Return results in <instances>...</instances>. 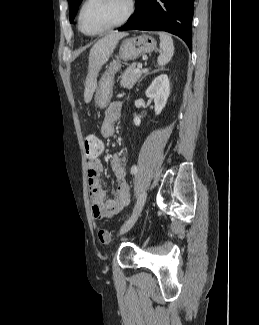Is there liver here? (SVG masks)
<instances>
[{
	"label": "liver",
	"mask_w": 259,
	"mask_h": 325,
	"mask_svg": "<svg viewBox=\"0 0 259 325\" xmlns=\"http://www.w3.org/2000/svg\"><path fill=\"white\" fill-rule=\"evenodd\" d=\"M127 35L128 34L125 32H111L97 41L91 48L89 54V69L91 80H88L84 92L86 103H89L91 101L94 90L96 88V82L94 80L95 75L100 70L101 66L108 61L118 41Z\"/></svg>",
	"instance_id": "obj_1"
}]
</instances>
